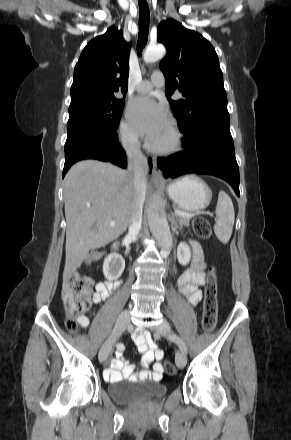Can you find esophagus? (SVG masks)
Wrapping results in <instances>:
<instances>
[{
	"mask_svg": "<svg viewBox=\"0 0 291 440\" xmlns=\"http://www.w3.org/2000/svg\"><path fill=\"white\" fill-rule=\"evenodd\" d=\"M152 182L154 185H161L163 183V178L160 170L157 168L156 163H154L152 169Z\"/></svg>",
	"mask_w": 291,
	"mask_h": 440,
	"instance_id": "34e87169",
	"label": "esophagus"
}]
</instances>
